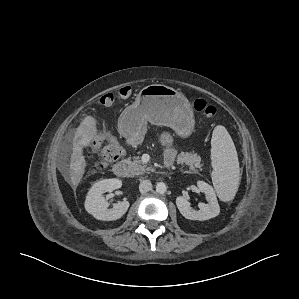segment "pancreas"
I'll return each mask as SVG.
<instances>
[{
    "instance_id": "pancreas-1",
    "label": "pancreas",
    "mask_w": 299,
    "mask_h": 299,
    "mask_svg": "<svg viewBox=\"0 0 299 299\" xmlns=\"http://www.w3.org/2000/svg\"><path fill=\"white\" fill-rule=\"evenodd\" d=\"M128 162L132 169L133 175H143L145 173H149L153 169L151 167H147L146 164H144L139 156L134 157L133 161L129 158ZM178 164L185 163L190 167V170L193 172H196V169L199 168L202 170L203 163L201 162V157L194 153H188V152H181L178 155L177 158Z\"/></svg>"
}]
</instances>
